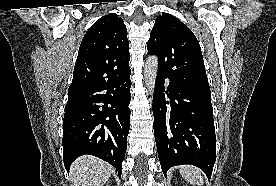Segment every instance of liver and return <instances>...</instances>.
I'll use <instances>...</instances> for the list:
<instances>
[{
    "instance_id": "1",
    "label": "liver",
    "mask_w": 276,
    "mask_h": 186,
    "mask_svg": "<svg viewBox=\"0 0 276 186\" xmlns=\"http://www.w3.org/2000/svg\"><path fill=\"white\" fill-rule=\"evenodd\" d=\"M112 173V167L94 156L85 155L71 166L72 186H103Z\"/></svg>"
}]
</instances>
